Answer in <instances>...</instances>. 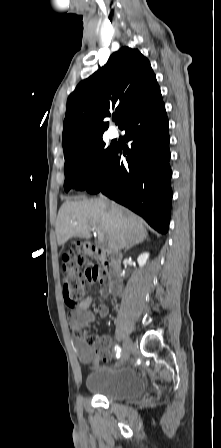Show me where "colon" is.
Masks as SVG:
<instances>
[{"instance_id":"5ec220e1","label":"colon","mask_w":221,"mask_h":448,"mask_svg":"<svg viewBox=\"0 0 221 448\" xmlns=\"http://www.w3.org/2000/svg\"><path fill=\"white\" fill-rule=\"evenodd\" d=\"M63 262V294L67 306L76 308L85 298L87 285L100 282L105 272L94 262V255H90L82 246H74L61 255ZM87 342L97 343L100 349L107 345L106 339L96 340L93 335H87ZM103 360H107L103 355Z\"/></svg>"}]
</instances>
